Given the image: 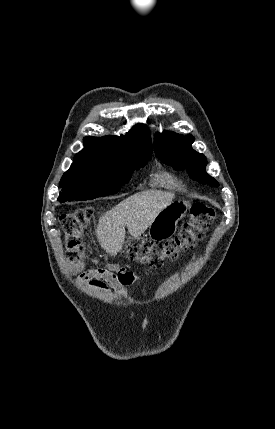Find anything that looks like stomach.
Masks as SVG:
<instances>
[{
	"label": "stomach",
	"mask_w": 275,
	"mask_h": 429,
	"mask_svg": "<svg viewBox=\"0 0 275 429\" xmlns=\"http://www.w3.org/2000/svg\"><path fill=\"white\" fill-rule=\"evenodd\" d=\"M188 206L186 201L179 200L161 210L149 226L150 238L162 241L173 236L177 230V223L185 216Z\"/></svg>",
	"instance_id": "1"
}]
</instances>
